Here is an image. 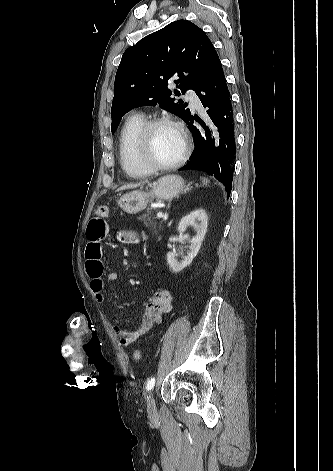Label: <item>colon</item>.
I'll return each mask as SVG.
<instances>
[{
    "instance_id": "colon-1",
    "label": "colon",
    "mask_w": 333,
    "mask_h": 471,
    "mask_svg": "<svg viewBox=\"0 0 333 471\" xmlns=\"http://www.w3.org/2000/svg\"><path fill=\"white\" fill-rule=\"evenodd\" d=\"M110 209L107 206H100L96 210V214L101 217H107L109 215ZM133 357L135 360H140L142 358V351L137 349L134 351Z\"/></svg>"
}]
</instances>
